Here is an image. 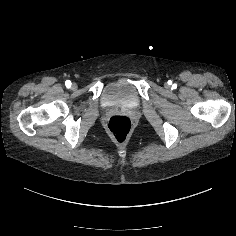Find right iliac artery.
Masks as SVG:
<instances>
[{"instance_id": "82829eb1", "label": "right iliac artery", "mask_w": 236, "mask_h": 236, "mask_svg": "<svg viewBox=\"0 0 236 236\" xmlns=\"http://www.w3.org/2000/svg\"><path fill=\"white\" fill-rule=\"evenodd\" d=\"M71 81L70 80H66V82H65V85H66V87L67 88H70L71 87Z\"/></svg>"}]
</instances>
